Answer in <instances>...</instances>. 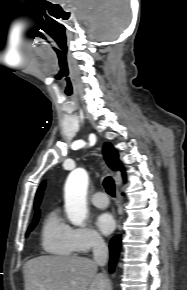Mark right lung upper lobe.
<instances>
[{
  "instance_id": "obj_1",
  "label": "right lung upper lobe",
  "mask_w": 187,
  "mask_h": 290,
  "mask_svg": "<svg viewBox=\"0 0 187 290\" xmlns=\"http://www.w3.org/2000/svg\"><path fill=\"white\" fill-rule=\"evenodd\" d=\"M103 155H104V159L107 165L114 171L121 170L123 172V176L125 177L124 169L118 160V157H119L118 153L114 149V147L108 142L104 144ZM44 185L45 183L43 182L36 194V198H35L36 214H35L34 219L40 214L38 207L41 202L42 195H43Z\"/></svg>"
}]
</instances>
